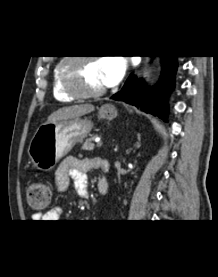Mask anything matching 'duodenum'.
<instances>
[{
    "label": "duodenum",
    "instance_id": "obj_1",
    "mask_svg": "<svg viewBox=\"0 0 218 277\" xmlns=\"http://www.w3.org/2000/svg\"><path fill=\"white\" fill-rule=\"evenodd\" d=\"M97 190L101 195H105L109 192V183L106 179H100L97 182Z\"/></svg>",
    "mask_w": 218,
    "mask_h": 277
}]
</instances>
